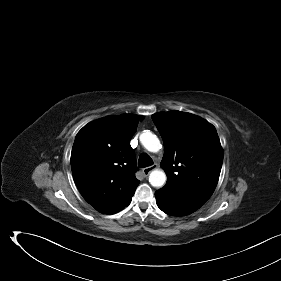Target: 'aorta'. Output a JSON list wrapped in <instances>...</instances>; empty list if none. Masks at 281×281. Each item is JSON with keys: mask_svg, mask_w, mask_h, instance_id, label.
<instances>
[{"mask_svg": "<svg viewBox=\"0 0 281 281\" xmlns=\"http://www.w3.org/2000/svg\"><path fill=\"white\" fill-rule=\"evenodd\" d=\"M142 145L150 152L156 153L161 149L160 140L151 132L142 133L140 136ZM149 182L153 187H162L166 182V174L163 170H153L149 175Z\"/></svg>", "mask_w": 281, "mask_h": 281, "instance_id": "1", "label": "aorta"}]
</instances>
